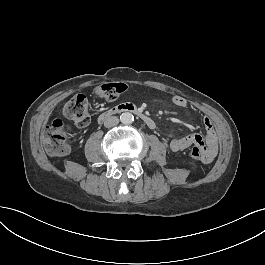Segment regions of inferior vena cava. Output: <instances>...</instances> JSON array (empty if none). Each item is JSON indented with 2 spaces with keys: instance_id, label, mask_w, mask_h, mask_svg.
<instances>
[{
  "instance_id": "obj_1",
  "label": "inferior vena cava",
  "mask_w": 265,
  "mask_h": 265,
  "mask_svg": "<svg viewBox=\"0 0 265 265\" xmlns=\"http://www.w3.org/2000/svg\"><path fill=\"white\" fill-rule=\"evenodd\" d=\"M118 123H119L118 117H116V116H109V117H107L105 119L104 126L106 128H110V127H114V126L118 125Z\"/></svg>"
}]
</instances>
